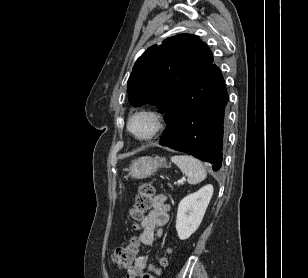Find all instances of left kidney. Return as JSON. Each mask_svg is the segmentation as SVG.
I'll return each instance as SVG.
<instances>
[{
	"label": "left kidney",
	"instance_id": "5707ae66",
	"mask_svg": "<svg viewBox=\"0 0 308 278\" xmlns=\"http://www.w3.org/2000/svg\"><path fill=\"white\" fill-rule=\"evenodd\" d=\"M212 195L213 186L206 185L180 201L176 217V230L179 239H188L198 229Z\"/></svg>",
	"mask_w": 308,
	"mask_h": 278
}]
</instances>
